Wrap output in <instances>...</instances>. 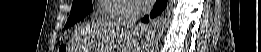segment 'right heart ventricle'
<instances>
[{
  "label": "right heart ventricle",
  "instance_id": "right-heart-ventricle-1",
  "mask_svg": "<svg viewBox=\"0 0 261 52\" xmlns=\"http://www.w3.org/2000/svg\"><path fill=\"white\" fill-rule=\"evenodd\" d=\"M111 9H113V7L112 6H110V5H102L101 7H100V13L102 14V15H105L109 10H111Z\"/></svg>",
  "mask_w": 261,
  "mask_h": 52
}]
</instances>
